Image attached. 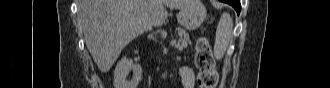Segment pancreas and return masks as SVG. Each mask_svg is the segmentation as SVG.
<instances>
[{"label":"pancreas","mask_w":330,"mask_h":88,"mask_svg":"<svg viewBox=\"0 0 330 88\" xmlns=\"http://www.w3.org/2000/svg\"><path fill=\"white\" fill-rule=\"evenodd\" d=\"M177 31L180 36V39L175 47H176V49L181 51V50L187 48L188 43H190V38L184 29L178 28Z\"/></svg>","instance_id":"cf45deb5"}]
</instances>
